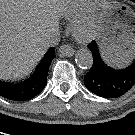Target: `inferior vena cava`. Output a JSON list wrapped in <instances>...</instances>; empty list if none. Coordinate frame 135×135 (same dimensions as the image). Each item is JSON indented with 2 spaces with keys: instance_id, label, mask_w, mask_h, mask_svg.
<instances>
[{
  "instance_id": "602c4592",
  "label": "inferior vena cava",
  "mask_w": 135,
  "mask_h": 135,
  "mask_svg": "<svg viewBox=\"0 0 135 135\" xmlns=\"http://www.w3.org/2000/svg\"><path fill=\"white\" fill-rule=\"evenodd\" d=\"M60 33L58 30H54L49 33L44 39V46L46 48L58 45L60 41Z\"/></svg>"
}]
</instances>
